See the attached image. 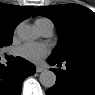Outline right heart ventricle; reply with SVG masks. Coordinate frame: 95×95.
Wrapping results in <instances>:
<instances>
[{
    "label": "right heart ventricle",
    "mask_w": 95,
    "mask_h": 95,
    "mask_svg": "<svg viewBox=\"0 0 95 95\" xmlns=\"http://www.w3.org/2000/svg\"><path fill=\"white\" fill-rule=\"evenodd\" d=\"M47 22H51L50 20L46 19V18H40V19H37L35 24L36 26L39 25V24H43V23H47Z\"/></svg>",
    "instance_id": "1"
}]
</instances>
